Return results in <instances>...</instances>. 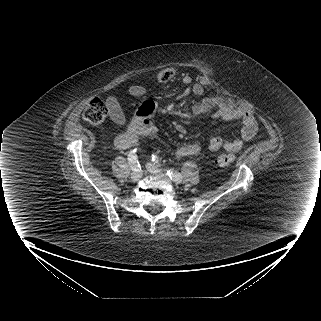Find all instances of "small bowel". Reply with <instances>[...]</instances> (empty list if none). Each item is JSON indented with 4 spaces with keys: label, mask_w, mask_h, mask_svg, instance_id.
<instances>
[{
    "label": "small bowel",
    "mask_w": 321,
    "mask_h": 321,
    "mask_svg": "<svg viewBox=\"0 0 321 321\" xmlns=\"http://www.w3.org/2000/svg\"><path fill=\"white\" fill-rule=\"evenodd\" d=\"M183 82L189 84L190 77L185 76ZM193 93L200 95L203 92V86L194 84L192 86ZM130 93L133 96H141L144 93V88L138 85L130 88ZM108 111L112 121L124 126V130L116 137L115 145L120 150H129L138 144L141 136H155L157 128L151 120L155 111V104L152 101H145L140 106L137 115L130 121H127L119 100L116 96H109L106 100ZM219 105V100L215 96H209L201 102L196 103L192 107V112L195 115L205 114L214 107ZM213 117L218 120L240 122L242 128L240 137L225 140L219 136H214L208 141V149L210 151H217L221 148L227 151L236 152L241 150L245 143L252 140L258 132V123L253 113L246 109H239L232 106H220L213 113ZM180 133H184L185 129L181 124L176 126ZM200 147L195 144L180 146L174 150L173 155L177 158L188 157L197 154Z\"/></svg>",
    "instance_id": "obj_1"
}]
</instances>
